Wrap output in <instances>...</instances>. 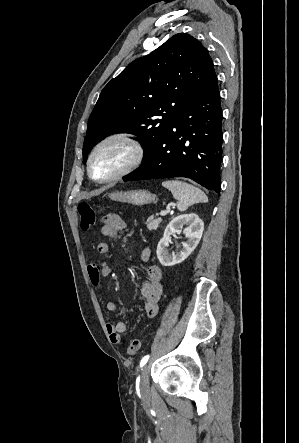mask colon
Masks as SVG:
<instances>
[{
  "label": "colon",
  "instance_id": "colon-1",
  "mask_svg": "<svg viewBox=\"0 0 299 443\" xmlns=\"http://www.w3.org/2000/svg\"><path fill=\"white\" fill-rule=\"evenodd\" d=\"M78 213L80 216V226L83 230H87L96 224V213L94 208L87 202H81L78 205ZM141 347V341L135 338L131 341L127 352L130 356H135Z\"/></svg>",
  "mask_w": 299,
  "mask_h": 443
}]
</instances>
